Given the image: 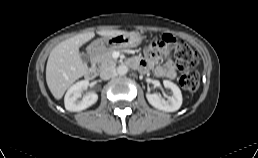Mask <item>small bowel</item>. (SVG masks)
<instances>
[{
	"label": "small bowel",
	"mask_w": 258,
	"mask_h": 158,
	"mask_svg": "<svg viewBox=\"0 0 258 158\" xmlns=\"http://www.w3.org/2000/svg\"><path fill=\"white\" fill-rule=\"evenodd\" d=\"M157 50L153 47L147 48L143 52V57L130 58L127 62L136 63L140 71L145 72L152 69L156 76L174 80L177 77V69L170 57L169 49L162 48L159 53ZM160 60H162V64H158Z\"/></svg>",
	"instance_id": "small-bowel-1"
}]
</instances>
